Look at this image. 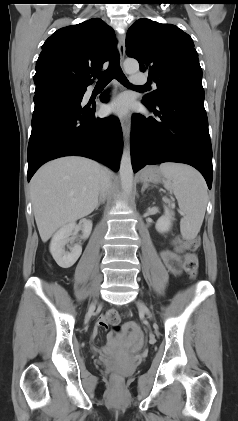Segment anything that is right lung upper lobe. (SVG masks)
<instances>
[{
	"mask_svg": "<svg viewBox=\"0 0 238 421\" xmlns=\"http://www.w3.org/2000/svg\"><path fill=\"white\" fill-rule=\"evenodd\" d=\"M116 44L113 29L99 18L61 28L43 44L34 82L90 85L91 77L102 69Z\"/></svg>",
	"mask_w": 238,
	"mask_h": 421,
	"instance_id": "obj_1",
	"label": "right lung upper lobe"
}]
</instances>
